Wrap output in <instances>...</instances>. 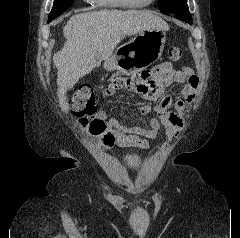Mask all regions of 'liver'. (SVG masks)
Instances as JSON below:
<instances>
[{
	"mask_svg": "<svg viewBox=\"0 0 240 238\" xmlns=\"http://www.w3.org/2000/svg\"><path fill=\"white\" fill-rule=\"evenodd\" d=\"M157 28L169 29L164 20L149 11L101 10L70 17L63 29L64 47L53 57L58 70L57 96L61 110L69 109L67 90L101 61L109 59L126 36Z\"/></svg>",
	"mask_w": 240,
	"mask_h": 238,
	"instance_id": "obj_1",
	"label": "liver"
}]
</instances>
